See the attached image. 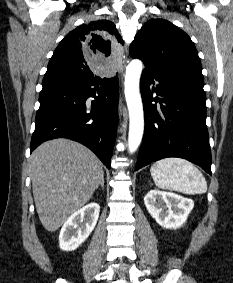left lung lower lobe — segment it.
Segmentation results:
<instances>
[{
    "instance_id": "obj_1",
    "label": "left lung lower lobe",
    "mask_w": 233,
    "mask_h": 283,
    "mask_svg": "<svg viewBox=\"0 0 233 283\" xmlns=\"http://www.w3.org/2000/svg\"><path fill=\"white\" fill-rule=\"evenodd\" d=\"M203 86V78L193 74L143 70L145 130L135 170L166 157H180L211 174Z\"/></svg>"
}]
</instances>
